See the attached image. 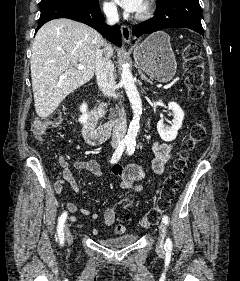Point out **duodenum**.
<instances>
[{
  "instance_id": "duodenum-1",
  "label": "duodenum",
  "mask_w": 240,
  "mask_h": 281,
  "mask_svg": "<svg viewBox=\"0 0 240 281\" xmlns=\"http://www.w3.org/2000/svg\"><path fill=\"white\" fill-rule=\"evenodd\" d=\"M112 124L97 125L95 116L89 109L85 110V121L82 127V134L88 144L96 145L110 137Z\"/></svg>"
}]
</instances>
